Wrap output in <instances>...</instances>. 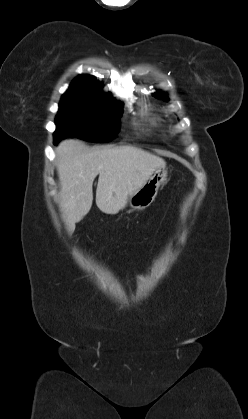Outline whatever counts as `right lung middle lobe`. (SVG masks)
Listing matches in <instances>:
<instances>
[{
	"label": "right lung middle lobe",
	"mask_w": 248,
	"mask_h": 419,
	"mask_svg": "<svg viewBox=\"0 0 248 419\" xmlns=\"http://www.w3.org/2000/svg\"><path fill=\"white\" fill-rule=\"evenodd\" d=\"M122 103L64 94L59 104L54 142L76 136L94 142L109 141L119 128Z\"/></svg>",
	"instance_id": "right-lung-middle-lobe-1"
}]
</instances>
